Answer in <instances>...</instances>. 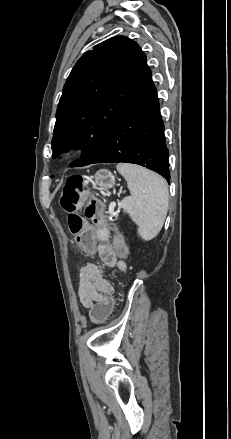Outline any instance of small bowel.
I'll use <instances>...</instances> for the list:
<instances>
[{
    "label": "small bowel",
    "mask_w": 231,
    "mask_h": 439,
    "mask_svg": "<svg viewBox=\"0 0 231 439\" xmlns=\"http://www.w3.org/2000/svg\"><path fill=\"white\" fill-rule=\"evenodd\" d=\"M117 246L101 242L97 252L102 263L107 267L125 268L124 262L117 255ZM114 293V287L108 281L96 263H87L80 270L79 299L81 304L90 309L97 302L98 297H105L106 293Z\"/></svg>",
    "instance_id": "obj_1"
}]
</instances>
